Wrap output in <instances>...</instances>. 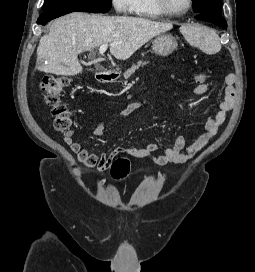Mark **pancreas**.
Here are the masks:
<instances>
[{
  "instance_id": "obj_1",
  "label": "pancreas",
  "mask_w": 255,
  "mask_h": 272,
  "mask_svg": "<svg viewBox=\"0 0 255 272\" xmlns=\"http://www.w3.org/2000/svg\"><path fill=\"white\" fill-rule=\"evenodd\" d=\"M147 63H148V62L139 61L137 64L132 65L131 68L127 69V70L124 72V74H123V75H124V78H125V79H128L132 74L135 73V71H136L137 69H139V67L144 66V65H146Z\"/></svg>"
}]
</instances>
